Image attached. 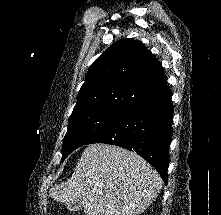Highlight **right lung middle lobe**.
Here are the masks:
<instances>
[{
	"instance_id": "1",
	"label": "right lung middle lobe",
	"mask_w": 221,
	"mask_h": 215,
	"mask_svg": "<svg viewBox=\"0 0 221 215\" xmlns=\"http://www.w3.org/2000/svg\"><path fill=\"white\" fill-rule=\"evenodd\" d=\"M120 116L99 110L72 113L64 138L61 161L63 162L71 152L85 145L91 138L102 132Z\"/></svg>"
}]
</instances>
